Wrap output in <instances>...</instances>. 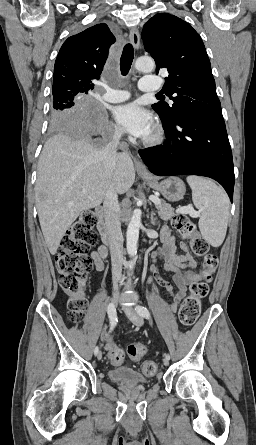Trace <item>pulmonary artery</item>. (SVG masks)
I'll return each instance as SVG.
<instances>
[{"label":"pulmonary artery","instance_id":"pulmonary-artery-1","mask_svg":"<svg viewBox=\"0 0 256 445\" xmlns=\"http://www.w3.org/2000/svg\"><path fill=\"white\" fill-rule=\"evenodd\" d=\"M160 87L159 80L156 77L152 76H144L141 78L139 82V89L142 92H156ZM130 95L119 89H111L107 90V93L104 95V99L110 103H118L127 100Z\"/></svg>","mask_w":256,"mask_h":445}]
</instances>
